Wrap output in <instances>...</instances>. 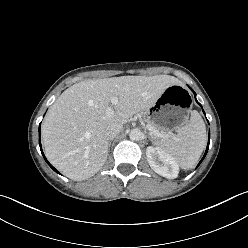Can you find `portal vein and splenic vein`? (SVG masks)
Masks as SVG:
<instances>
[{
	"instance_id": "portal-vein-and-splenic-vein-1",
	"label": "portal vein and splenic vein",
	"mask_w": 248,
	"mask_h": 248,
	"mask_svg": "<svg viewBox=\"0 0 248 248\" xmlns=\"http://www.w3.org/2000/svg\"><path fill=\"white\" fill-rule=\"evenodd\" d=\"M111 105L107 107L106 109V115L108 117H111L113 114H114V109L112 107V105H115L118 103V98L117 97H111ZM148 130L151 131L152 134L158 136V137H161V133H159L158 131H156L153 127L151 126H148Z\"/></svg>"
}]
</instances>
